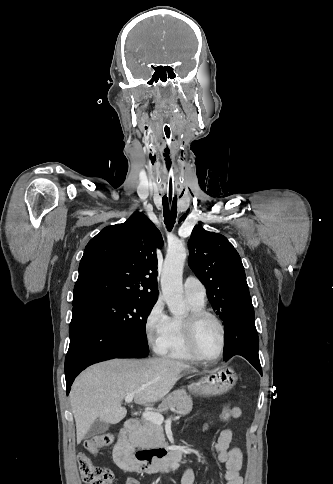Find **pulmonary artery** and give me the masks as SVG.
Masks as SVG:
<instances>
[{"instance_id":"e3ab8cb5","label":"pulmonary artery","mask_w":333,"mask_h":484,"mask_svg":"<svg viewBox=\"0 0 333 484\" xmlns=\"http://www.w3.org/2000/svg\"><path fill=\"white\" fill-rule=\"evenodd\" d=\"M184 293L187 298L198 302H205L206 289L199 279L194 276H188L184 280Z\"/></svg>"}]
</instances>
